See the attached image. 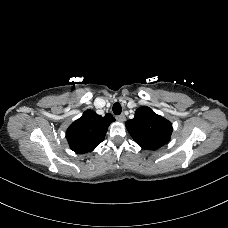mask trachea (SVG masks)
Segmentation results:
<instances>
[{"label": "trachea", "instance_id": "3493384b", "mask_svg": "<svg viewBox=\"0 0 228 228\" xmlns=\"http://www.w3.org/2000/svg\"><path fill=\"white\" fill-rule=\"evenodd\" d=\"M122 112V107L120 105V103L116 102L114 105H113V113L115 115H120Z\"/></svg>", "mask_w": 228, "mask_h": 228}]
</instances>
